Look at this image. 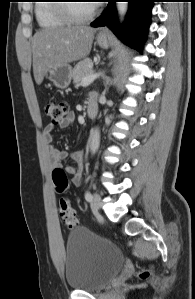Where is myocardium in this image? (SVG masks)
Returning a JSON list of instances; mask_svg holds the SVG:
<instances>
[{
	"label": "myocardium",
	"instance_id": "obj_1",
	"mask_svg": "<svg viewBox=\"0 0 195 299\" xmlns=\"http://www.w3.org/2000/svg\"><path fill=\"white\" fill-rule=\"evenodd\" d=\"M68 2V1H63ZM58 11L71 23H84L92 18L97 13V8L95 5L92 6V10L85 15H78L72 10V3H60L57 6Z\"/></svg>",
	"mask_w": 195,
	"mask_h": 299
}]
</instances>
